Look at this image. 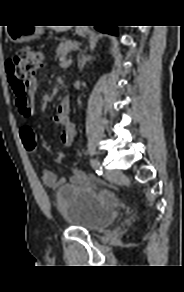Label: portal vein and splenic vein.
I'll list each match as a JSON object with an SVG mask.
<instances>
[{"label":"portal vein and splenic vein","instance_id":"portal-vein-and-splenic-vein-1","mask_svg":"<svg viewBox=\"0 0 184 292\" xmlns=\"http://www.w3.org/2000/svg\"><path fill=\"white\" fill-rule=\"evenodd\" d=\"M71 63H72L71 59L70 60L63 59V60H61L60 67L67 68L71 65Z\"/></svg>","mask_w":184,"mask_h":292}]
</instances>
